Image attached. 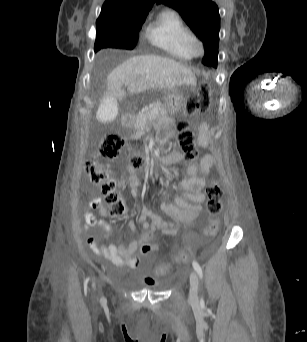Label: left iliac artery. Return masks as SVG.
Returning a JSON list of instances; mask_svg holds the SVG:
<instances>
[{"label":"left iliac artery","instance_id":"left-iliac-artery-1","mask_svg":"<svg viewBox=\"0 0 307 342\" xmlns=\"http://www.w3.org/2000/svg\"><path fill=\"white\" fill-rule=\"evenodd\" d=\"M193 268L195 269V271L197 272V274L199 275V277L202 279L203 278V270L200 266V264L196 261L192 262ZM201 303H204L203 298H201Z\"/></svg>","mask_w":307,"mask_h":342}]
</instances>
